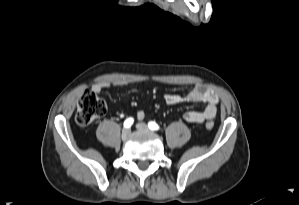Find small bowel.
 <instances>
[{"instance_id": "c3829d8e", "label": "small bowel", "mask_w": 299, "mask_h": 205, "mask_svg": "<svg viewBox=\"0 0 299 205\" xmlns=\"http://www.w3.org/2000/svg\"><path fill=\"white\" fill-rule=\"evenodd\" d=\"M110 86L111 84L108 82L96 83L92 86V91L99 93ZM164 101L168 105H177L181 103H203L205 107L202 111H188L184 115L187 122L201 124L204 121L211 120L215 117L219 98L213 90L206 88L201 84H195L184 96L175 93L165 94ZM143 118L144 112L138 111L137 119L142 120Z\"/></svg>"}]
</instances>
